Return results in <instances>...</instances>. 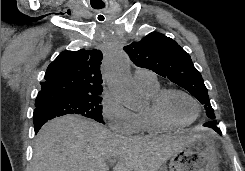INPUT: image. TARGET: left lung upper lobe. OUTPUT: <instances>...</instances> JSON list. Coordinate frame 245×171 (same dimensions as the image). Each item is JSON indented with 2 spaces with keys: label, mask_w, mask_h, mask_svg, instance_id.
I'll list each match as a JSON object with an SVG mask.
<instances>
[{
  "label": "left lung upper lobe",
  "mask_w": 245,
  "mask_h": 171,
  "mask_svg": "<svg viewBox=\"0 0 245 171\" xmlns=\"http://www.w3.org/2000/svg\"><path fill=\"white\" fill-rule=\"evenodd\" d=\"M124 49L136 66L152 70L189 91L204 105L207 116L215 119L202 76L194 67L190 55L177 42L152 32Z\"/></svg>",
  "instance_id": "5c2ea615"
}]
</instances>
